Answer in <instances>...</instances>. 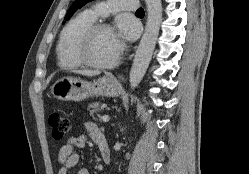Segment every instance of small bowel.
Segmentation results:
<instances>
[{
	"label": "small bowel",
	"mask_w": 249,
	"mask_h": 174,
	"mask_svg": "<svg viewBox=\"0 0 249 174\" xmlns=\"http://www.w3.org/2000/svg\"><path fill=\"white\" fill-rule=\"evenodd\" d=\"M84 130L83 134L71 137L61 146L58 153V161L61 165L58 174H70L74 168H77L76 174H90L86 168L78 167L80 155L76 152V149L84 147L88 139H91L100 151V143L107 145V140L93 122H86Z\"/></svg>",
	"instance_id": "obj_1"
}]
</instances>
